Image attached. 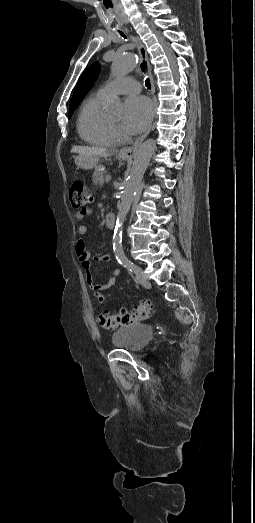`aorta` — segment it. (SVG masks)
Instances as JSON below:
<instances>
[{
	"label": "aorta",
	"mask_w": 255,
	"mask_h": 523,
	"mask_svg": "<svg viewBox=\"0 0 255 523\" xmlns=\"http://www.w3.org/2000/svg\"><path fill=\"white\" fill-rule=\"evenodd\" d=\"M137 59V56L131 53L116 58L111 66L112 75L114 77L125 76L136 67ZM108 107L110 111L118 113L121 109L119 97L113 96L109 101ZM155 149L156 142L153 139H148L140 145L134 156L132 168L125 184L113 234V250L116 259L120 261H124L126 258L122 248L123 223Z\"/></svg>",
	"instance_id": "1"
}]
</instances>
